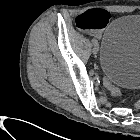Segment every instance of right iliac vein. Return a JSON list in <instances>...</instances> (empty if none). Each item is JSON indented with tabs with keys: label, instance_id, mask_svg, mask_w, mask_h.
I'll use <instances>...</instances> for the list:
<instances>
[{
	"label": "right iliac vein",
	"instance_id": "right-iliac-vein-1",
	"mask_svg": "<svg viewBox=\"0 0 140 140\" xmlns=\"http://www.w3.org/2000/svg\"><path fill=\"white\" fill-rule=\"evenodd\" d=\"M93 51H94L95 53L98 51V46H97V45H95V46L93 47Z\"/></svg>",
	"mask_w": 140,
	"mask_h": 140
}]
</instances>
